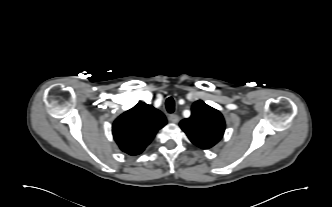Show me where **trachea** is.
Returning a JSON list of instances; mask_svg holds the SVG:
<instances>
[{
    "label": "trachea",
    "mask_w": 332,
    "mask_h": 207,
    "mask_svg": "<svg viewBox=\"0 0 332 207\" xmlns=\"http://www.w3.org/2000/svg\"><path fill=\"white\" fill-rule=\"evenodd\" d=\"M166 109L169 113H173L175 110V103L172 97H169L165 103Z\"/></svg>",
    "instance_id": "3493384b"
}]
</instances>
